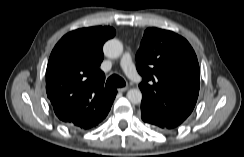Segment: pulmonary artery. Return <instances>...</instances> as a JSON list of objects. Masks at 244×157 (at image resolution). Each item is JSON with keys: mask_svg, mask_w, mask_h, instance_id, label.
Listing matches in <instances>:
<instances>
[{"mask_svg": "<svg viewBox=\"0 0 244 157\" xmlns=\"http://www.w3.org/2000/svg\"><path fill=\"white\" fill-rule=\"evenodd\" d=\"M121 67L126 73V75L133 80L136 83L141 82V76L138 74V72L135 69V66L132 62L131 53L129 51H126L120 61Z\"/></svg>", "mask_w": 244, "mask_h": 157, "instance_id": "pulmonary-artery-1", "label": "pulmonary artery"}]
</instances>
